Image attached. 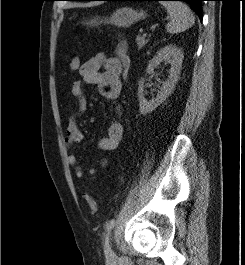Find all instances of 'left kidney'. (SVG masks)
<instances>
[{
	"instance_id": "1",
	"label": "left kidney",
	"mask_w": 245,
	"mask_h": 265,
	"mask_svg": "<svg viewBox=\"0 0 245 265\" xmlns=\"http://www.w3.org/2000/svg\"><path fill=\"white\" fill-rule=\"evenodd\" d=\"M183 58L182 50L170 44L160 49L149 61L146 69L147 74L153 73L154 69L163 61L169 63L171 68L169 70L168 79L162 83L160 91H158L157 96L152 100L148 101L144 97V79L139 81L137 95L141 114L146 115L155 110L172 93L181 72Z\"/></svg>"
}]
</instances>
